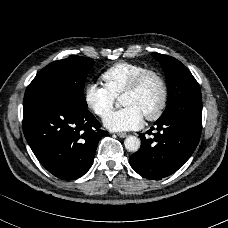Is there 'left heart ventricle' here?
Instances as JSON below:
<instances>
[{
  "label": "left heart ventricle",
  "mask_w": 228,
  "mask_h": 228,
  "mask_svg": "<svg viewBox=\"0 0 228 228\" xmlns=\"http://www.w3.org/2000/svg\"><path fill=\"white\" fill-rule=\"evenodd\" d=\"M162 100V87L157 78L148 77L140 89L121 97L123 106L136 108L143 116L153 113Z\"/></svg>",
  "instance_id": "left-heart-ventricle-1"
}]
</instances>
